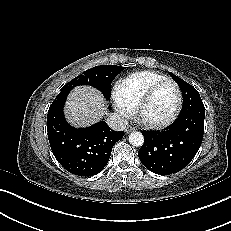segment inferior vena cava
<instances>
[{
	"instance_id": "inferior-vena-cava-1",
	"label": "inferior vena cava",
	"mask_w": 231,
	"mask_h": 231,
	"mask_svg": "<svg viewBox=\"0 0 231 231\" xmlns=\"http://www.w3.org/2000/svg\"><path fill=\"white\" fill-rule=\"evenodd\" d=\"M106 123L111 129L115 131H122L126 128L128 121L121 114L114 112L108 116Z\"/></svg>"
}]
</instances>
